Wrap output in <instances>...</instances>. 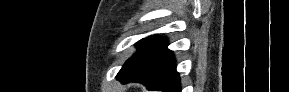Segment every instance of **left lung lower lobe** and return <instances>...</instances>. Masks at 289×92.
Instances as JSON below:
<instances>
[{
	"label": "left lung lower lobe",
	"instance_id": "0a47b994",
	"mask_svg": "<svg viewBox=\"0 0 289 92\" xmlns=\"http://www.w3.org/2000/svg\"><path fill=\"white\" fill-rule=\"evenodd\" d=\"M164 38L155 40L140 56L122 67L117 79L122 82L136 81L148 90L181 92L175 58Z\"/></svg>",
	"mask_w": 289,
	"mask_h": 92
}]
</instances>
